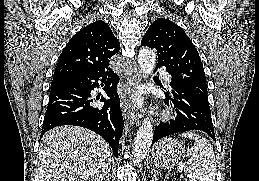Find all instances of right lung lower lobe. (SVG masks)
I'll return each instance as SVG.
<instances>
[{
	"label": "right lung lower lobe",
	"mask_w": 259,
	"mask_h": 181,
	"mask_svg": "<svg viewBox=\"0 0 259 181\" xmlns=\"http://www.w3.org/2000/svg\"><path fill=\"white\" fill-rule=\"evenodd\" d=\"M104 86L109 97L96 98L104 102L95 107L91 97L93 88ZM119 77L111 68L87 72L51 84L49 104L45 113L41 136L51 128L75 125L90 129L102 136L118 156V145L123 130L120 100L116 90Z\"/></svg>",
	"instance_id": "obj_1"
}]
</instances>
